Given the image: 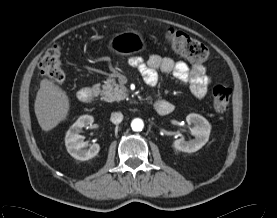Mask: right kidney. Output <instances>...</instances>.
<instances>
[{
  "label": "right kidney",
  "instance_id": "1",
  "mask_svg": "<svg viewBox=\"0 0 277 218\" xmlns=\"http://www.w3.org/2000/svg\"><path fill=\"white\" fill-rule=\"evenodd\" d=\"M94 118L91 115H82L77 121L69 128L65 136V146L68 153L77 160L86 161L95 157L99 150V144L90 145L89 149H84L88 146L84 142V136L80 135L82 128L92 125Z\"/></svg>",
  "mask_w": 277,
  "mask_h": 218
}]
</instances>
